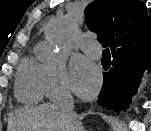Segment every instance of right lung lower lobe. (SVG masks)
Instances as JSON below:
<instances>
[{"instance_id":"right-lung-lower-lobe-1","label":"right lung lower lobe","mask_w":151,"mask_h":131,"mask_svg":"<svg viewBox=\"0 0 151 131\" xmlns=\"http://www.w3.org/2000/svg\"><path fill=\"white\" fill-rule=\"evenodd\" d=\"M129 49L113 56V68L104 74L98 103L115 112L125 111L136 95L139 84L146 73L151 72V55L137 59Z\"/></svg>"}]
</instances>
